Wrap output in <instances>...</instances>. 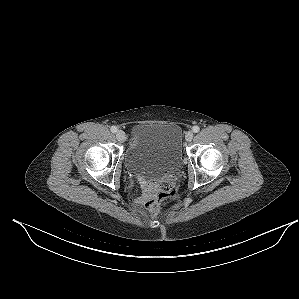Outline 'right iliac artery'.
<instances>
[{"label": "right iliac artery", "mask_w": 299, "mask_h": 299, "mask_svg": "<svg viewBox=\"0 0 299 299\" xmlns=\"http://www.w3.org/2000/svg\"><path fill=\"white\" fill-rule=\"evenodd\" d=\"M111 131H112L113 133H116V132H117V127H116V126H112V127H111Z\"/></svg>", "instance_id": "obj_1"}]
</instances>
